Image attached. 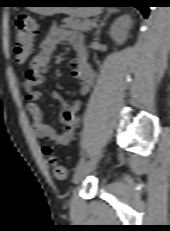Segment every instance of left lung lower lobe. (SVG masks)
I'll list each match as a JSON object with an SVG mask.
<instances>
[{
  "mask_svg": "<svg viewBox=\"0 0 170 231\" xmlns=\"http://www.w3.org/2000/svg\"><path fill=\"white\" fill-rule=\"evenodd\" d=\"M99 2L105 6L136 7L143 13L145 18L148 17L149 0H99Z\"/></svg>",
  "mask_w": 170,
  "mask_h": 231,
  "instance_id": "obj_1",
  "label": "left lung lower lobe"
}]
</instances>
